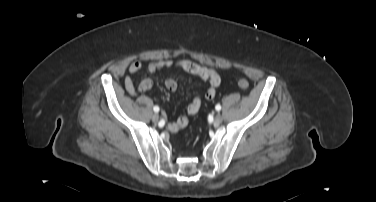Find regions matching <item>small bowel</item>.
<instances>
[{"mask_svg":"<svg viewBox=\"0 0 376 202\" xmlns=\"http://www.w3.org/2000/svg\"><path fill=\"white\" fill-rule=\"evenodd\" d=\"M143 67L141 61H135L130 64L128 68V75L124 78V87L127 93L131 96L137 95L138 92H148L153 87V82L150 79H144L140 82L138 88L135 87L131 75L138 72ZM148 70L151 73H156L161 70H175L180 69L188 74L198 76L202 80L208 83V88L205 93L207 100H212L216 96V89L221 83L220 75L209 67L202 66L193 61L183 59L178 61L172 60H155L151 61L148 66ZM182 79V78H181ZM178 87V80L174 77H170L165 81V88L170 92H175ZM201 98L196 96L193 98L187 108V114L189 116L195 115L200 106ZM189 122L188 116H181L177 120L169 124V129L173 132L179 131L187 126Z\"/></svg>","mask_w":376,"mask_h":202,"instance_id":"obj_1","label":"small bowel"}]
</instances>
